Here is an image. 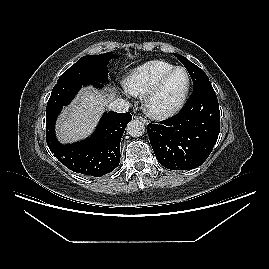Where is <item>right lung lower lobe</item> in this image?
<instances>
[{"mask_svg":"<svg viewBox=\"0 0 269 269\" xmlns=\"http://www.w3.org/2000/svg\"><path fill=\"white\" fill-rule=\"evenodd\" d=\"M102 88L98 82L64 80L54 86L46 108V141L51 152L68 169L83 175L101 177L120 162V141L132 116L105 113L91 137L71 145L60 144L55 136V121L62 107L70 103L82 86Z\"/></svg>","mask_w":269,"mask_h":269,"instance_id":"right-lung-lower-lobe-1","label":"right lung lower lobe"}]
</instances>
